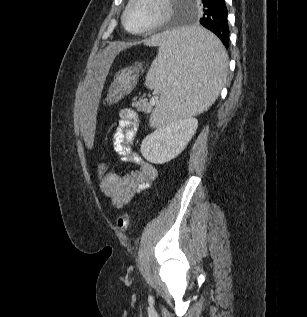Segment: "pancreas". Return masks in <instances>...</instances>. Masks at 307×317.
Masks as SVG:
<instances>
[{
  "label": "pancreas",
  "instance_id": "obj_1",
  "mask_svg": "<svg viewBox=\"0 0 307 317\" xmlns=\"http://www.w3.org/2000/svg\"><path fill=\"white\" fill-rule=\"evenodd\" d=\"M141 104H142V106H141L140 109H141L142 111H150V110H151V107H152V106H151L150 103L147 102V100H142V101H141Z\"/></svg>",
  "mask_w": 307,
  "mask_h": 317
}]
</instances>
